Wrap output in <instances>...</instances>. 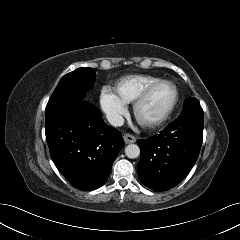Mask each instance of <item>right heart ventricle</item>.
Listing matches in <instances>:
<instances>
[{
    "instance_id": "1",
    "label": "right heart ventricle",
    "mask_w": 240,
    "mask_h": 240,
    "mask_svg": "<svg viewBox=\"0 0 240 240\" xmlns=\"http://www.w3.org/2000/svg\"><path fill=\"white\" fill-rule=\"evenodd\" d=\"M162 80L152 75L125 76L116 83L115 92L126 104L133 103L149 86Z\"/></svg>"
}]
</instances>
